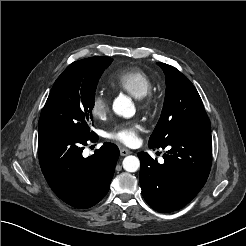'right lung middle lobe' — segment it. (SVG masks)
Instances as JSON below:
<instances>
[{
    "instance_id": "right-lung-middle-lobe-1",
    "label": "right lung middle lobe",
    "mask_w": 246,
    "mask_h": 246,
    "mask_svg": "<svg viewBox=\"0 0 246 246\" xmlns=\"http://www.w3.org/2000/svg\"><path fill=\"white\" fill-rule=\"evenodd\" d=\"M110 57H91L70 64L55 81L41 112L39 130H60L91 137L95 90Z\"/></svg>"
}]
</instances>
